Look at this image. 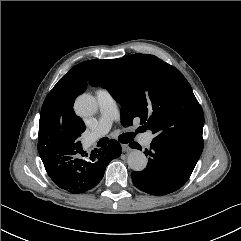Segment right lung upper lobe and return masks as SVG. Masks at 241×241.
<instances>
[{"label": "right lung upper lobe", "instance_id": "cb5924a9", "mask_svg": "<svg viewBox=\"0 0 241 241\" xmlns=\"http://www.w3.org/2000/svg\"><path fill=\"white\" fill-rule=\"evenodd\" d=\"M97 60L85 61L68 71L47 95L39 121L38 150L61 153L66 148H80L84 122L75 115L73 102L87 88V81Z\"/></svg>", "mask_w": 241, "mask_h": 241}]
</instances>
